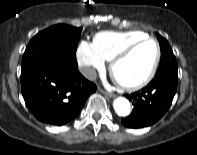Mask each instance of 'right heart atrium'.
Returning <instances> with one entry per match:
<instances>
[{
	"label": "right heart atrium",
	"instance_id": "d8ad5b80",
	"mask_svg": "<svg viewBox=\"0 0 197 155\" xmlns=\"http://www.w3.org/2000/svg\"><path fill=\"white\" fill-rule=\"evenodd\" d=\"M76 55L80 70L86 78H92L96 70H102L105 66V59L95 45L86 40L79 43Z\"/></svg>",
	"mask_w": 197,
	"mask_h": 155
}]
</instances>
